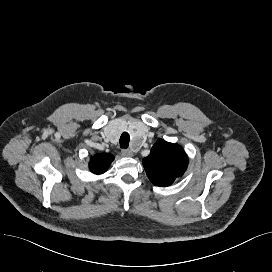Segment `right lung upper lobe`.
Here are the masks:
<instances>
[{"mask_svg":"<svg viewBox=\"0 0 272 272\" xmlns=\"http://www.w3.org/2000/svg\"><path fill=\"white\" fill-rule=\"evenodd\" d=\"M113 160L114 156L109 153L97 154L90 160V170L95 174H102L107 171Z\"/></svg>","mask_w":272,"mask_h":272,"instance_id":"1","label":"right lung upper lobe"}]
</instances>
